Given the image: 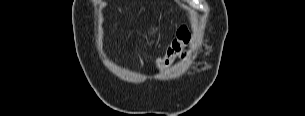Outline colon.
<instances>
[{
	"instance_id": "1",
	"label": "colon",
	"mask_w": 305,
	"mask_h": 116,
	"mask_svg": "<svg viewBox=\"0 0 305 116\" xmlns=\"http://www.w3.org/2000/svg\"><path fill=\"white\" fill-rule=\"evenodd\" d=\"M190 41V32L184 25L180 26L176 31V36L168 46L164 56L156 63L155 69L161 71L168 67L174 59L182 53L183 48Z\"/></svg>"
}]
</instances>
